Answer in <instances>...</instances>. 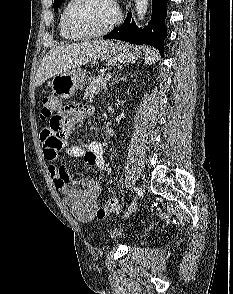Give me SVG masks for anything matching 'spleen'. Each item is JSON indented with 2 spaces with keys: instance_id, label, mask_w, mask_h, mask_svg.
I'll return each instance as SVG.
<instances>
[{
  "instance_id": "obj_1",
  "label": "spleen",
  "mask_w": 233,
  "mask_h": 294,
  "mask_svg": "<svg viewBox=\"0 0 233 294\" xmlns=\"http://www.w3.org/2000/svg\"><path fill=\"white\" fill-rule=\"evenodd\" d=\"M157 59L158 55L156 54V52L149 47H145V63L153 64Z\"/></svg>"
}]
</instances>
